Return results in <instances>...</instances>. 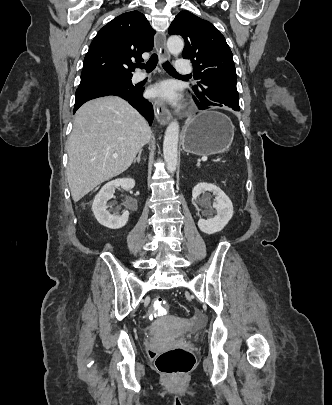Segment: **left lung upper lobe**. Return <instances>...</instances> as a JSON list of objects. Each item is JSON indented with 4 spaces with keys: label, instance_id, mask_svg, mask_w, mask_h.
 <instances>
[{
    "label": "left lung upper lobe",
    "instance_id": "obj_1",
    "mask_svg": "<svg viewBox=\"0 0 332 405\" xmlns=\"http://www.w3.org/2000/svg\"><path fill=\"white\" fill-rule=\"evenodd\" d=\"M168 33L181 35L185 40L182 57L192 61L194 78L199 80L192 87V93L201 106L205 109L226 106L239 111L232 52L214 25L188 11H181Z\"/></svg>",
    "mask_w": 332,
    "mask_h": 405
}]
</instances>
